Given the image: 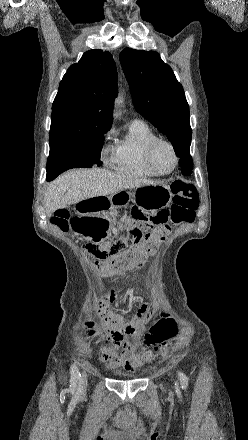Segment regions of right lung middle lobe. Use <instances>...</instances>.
Instances as JSON below:
<instances>
[{
    "mask_svg": "<svg viewBox=\"0 0 248 440\" xmlns=\"http://www.w3.org/2000/svg\"><path fill=\"white\" fill-rule=\"evenodd\" d=\"M108 130L92 132L83 138L50 145L47 161V181L72 168L101 166L100 153L104 144V134Z\"/></svg>",
    "mask_w": 248,
    "mask_h": 440,
    "instance_id": "dd1d6c3e",
    "label": "right lung middle lobe"
}]
</instances>
